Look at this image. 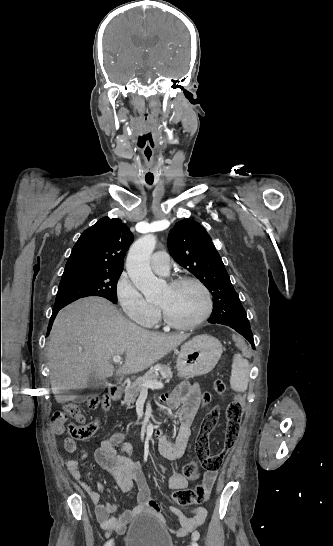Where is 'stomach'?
<instances>
[{
	"mask_svg": "<svg viewBox=\"0 0 333 546\" xmlns=\"http://www.w3.org/2000/svg\"><path fill=\"white\" fill-rule=\"evenodd\" d=\"M222 351L223 347L217 338L208 334L197 335L181 347L177 371L186 378L206 375L214 369Z\"/></svg>",
	"mask_w": 333,
	"mask_h": 546,
	"instance_id": "1",
	"label": "stomach"
}]
</instances>
